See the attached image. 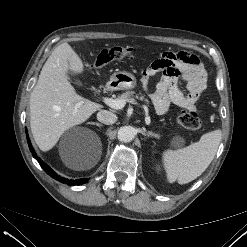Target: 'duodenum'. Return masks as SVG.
I'll return each instance as SVG.
<instances>
[{"label": "duodenum", "instance_id": "obj_1", "mask_svg": "<svg viewBox=\"0 0 247 247\" xmlns=\"http://www.w3.org/2000/svg\"><path fill=\"white\" fill-rule=\"evenodd\" d=\"M111 88H112V85L111 84H106V85L103 86V89L105 91H109V90H111Z\"/></svg>", "mask_w": 247, "mask_h": 247}]
</instances>
